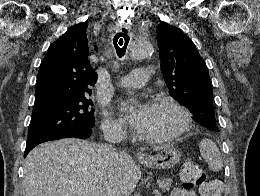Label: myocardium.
<instances>
[{"label":"myocardium","mask_w":260,"mask_h":196,"mask_svg":"<svg viewBox=\"0 0 260 196\" xmlns=\"http://www.w3.org/2000/svg\"><path fill=\"white\" fill-rule=\"evenodd\" d=\"M150 104H167L175 107L181 113L183 117V123L178 129L169 133H165L162 135H147L146 140H148L149 142H168L181 137L190 129L192 123V114L190 110L173 96H155L151 99Z\"/></svg>","instance_id":"myocardium-1"}]
</instances>
